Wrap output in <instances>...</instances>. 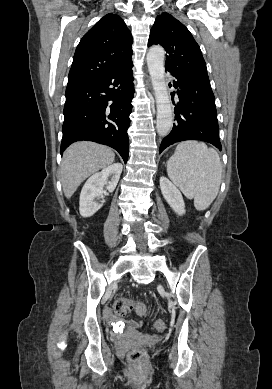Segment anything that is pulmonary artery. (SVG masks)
<instances>
[{"mask_svg": "<svg viewBox=\"0 0 272 389\" xmlns=\"http://www.w3.org/2000/svg\"><path fill=\"white\" fill-rule=\"evenodd\" d=\"M168 76L170 77V79H173L172 75L168 74Z\"/></svg>", "mask_w": 272, "mask_h": 389, "instance_id": "e3ab8cb5", "label": "pulmonary artery"}]
</instances>
